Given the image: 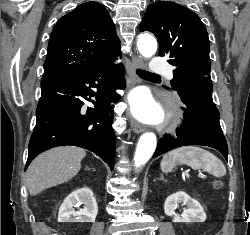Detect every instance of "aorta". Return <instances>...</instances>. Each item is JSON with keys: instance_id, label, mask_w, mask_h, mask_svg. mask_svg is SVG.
I'll use <instances>...</instances> for the list:
<instances>
[{"instance_id": "1", "label": "aorta", "mask_w": 250, "mask_h": 235, "mask_svg": "<svg viewBox=\"0 0 250 235\" xmlns=\"http://www.w3.org/2000/svg\"><path fill=\"white\" fill-rule=\"evenodd\" d=\"M137 47L141 55L146 58L153 56L157 50L156 40L149 34L140 35ZM156 149V136L154 133H144L138 142L134 162L136 167H140L151 158Z\"/></svg>"}]
</instances>
